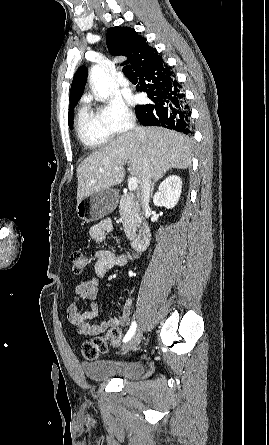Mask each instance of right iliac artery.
<instances>
[{
  "label": "right iliac artery",
  "instance_id": "right-iliac-artery-1",
  "mask_svg": "<svg viewBox=\"0 0 269 445\" xmlns=\"http://www.w3.org/2000/svg\"><path fill=\"white\" fill-rule=\"evenodd\" d=\"M135 331H136V322L134 321V322H132L130 329L128 330L127 334L125 335L123 341L127 342L128 340H130L131 337L134 335Z\"/></svg>",
  "mask_w": 269,
  "mask_h": 445
}]
</instances>
